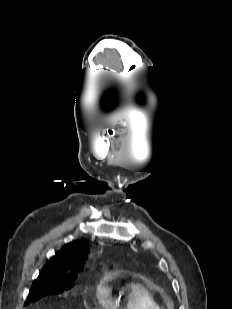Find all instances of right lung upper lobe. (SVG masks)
I'll list each match as a JSON object with an SVG mask.
<instances>
[{"mask_svg": "<svg viewBox=\"0 0 232 309\" xmlns=\"http://www.w3.org/2000/svg\"><path fill=\"white\" fill-rule=\"evenodd\" d=\"M88 255V242L78 239L66 244L51 258L35 280L74 281Z\"/></svg>", "mask_w": 232, "mask_h": 309, "instance_id": "1", "label": "right lung upper lobe"}]
</instances>
